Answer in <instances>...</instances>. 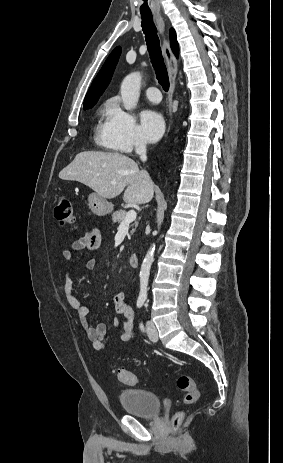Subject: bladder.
<instances>
[{
	"label": "bladder",
	"instance_id": "bladder-1",
	"mask_svg": "<svg viewBox=\"0 0 283 463\" xmlns=\"http://www.w3.org/2000/svg\"><path fill=\"white\" fill-rule=\"evenodd\" d=\"M119 402L124 412L144 418L157 417L162 408L158 395L142 389L122 390L119 393Z\"/></svg>",
	"mask_w": 283,
	"mask_h": 463
}]
</instances>
